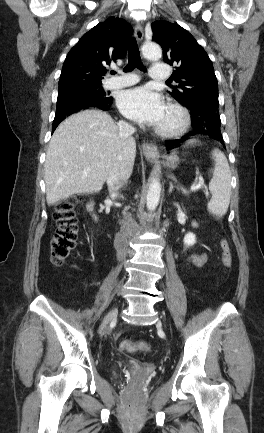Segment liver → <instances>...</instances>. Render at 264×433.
<instances>
[{
	"label": "liver",
	"mask_w": 264,
	"mask_h": 433,
	"mask_svg": "<svg viewBox=\"0 0 264 433\" xmlns=\"http://www.w3.org/2000/svg\"><path fill=\"white\" fill-rule=\"evenodd\" d=\"M135 156V140H122L107 113L92 109L71 115L55 130L46 153L47 204L52 206L74 194L99 192L113 168L129 178Z\"/></svg>",
	"instance_id": "1"
}]
</instances>
